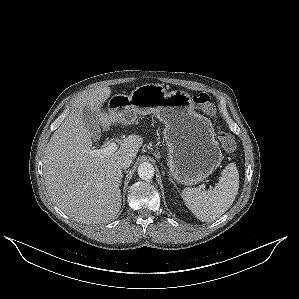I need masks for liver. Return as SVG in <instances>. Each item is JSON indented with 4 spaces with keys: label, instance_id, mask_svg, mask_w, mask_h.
<instances>
[{
    "label": "liver",
    "instance_id": "1",
    "mask_svg": "<svg viewBox=\"0 0 299 299\" xmlns=\"http://www.w3.org/2000/svg\"><path fill=\"white\" fill-rule=\"evenodd\" d=\"M110 87H98L78 95L68 117L53 133L43 157L46 190L52 201L73 220L85 224L107 223L121 208L122 171L118 159L130 153L136 157L143 138L129 135L110 155L97 158L92 150L93 134L83 122L84 107H89L104 129L112 124L130 125L122 112L101 110L110 97Z\"/></svg>",
    "mask_w": 299,
    "mask_h": 299
}]
</instances>
